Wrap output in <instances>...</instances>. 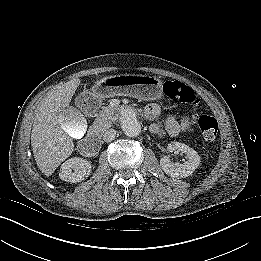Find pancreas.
Instances as JSON below:
<instances>
[{
  "label": "pancreas",
  "mask_w": 261,
  "mask_h": 261,
  "mask_svg": "<svg viewBox=\"0 0 261 261\" xmlns=\"http://www.w3.org/2000/svg\"><path fill=\"white\" fill-rule=\"evenodd\" d=\"M112 124V118L109 116H99L93 124V128L96 132L102 133L108 129Z\"/></svg>",
  "instance_id": "obj_1"
}]
</instances>
